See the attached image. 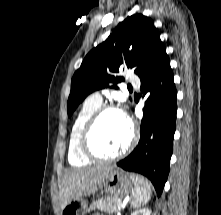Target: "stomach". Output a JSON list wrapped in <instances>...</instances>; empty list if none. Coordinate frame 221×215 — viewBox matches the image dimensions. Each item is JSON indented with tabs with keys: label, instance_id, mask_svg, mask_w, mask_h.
<instances>
[{
	"label": "stomach",
	"instance_id": "0dacf381",
	"mask_svg": "<svg viewBox=\"0 0 221 215\" xmlns=\"http://www.w3.org/2000/svg\"><path fill=\"white\" fill-rule=\"evenodd\" d=\"M135 177L121 170H112L100 188L101 193L105 192L112 197L127 196L134 190ZM87 210V201L83 198H77L62 209L61 215H85Z\"/></svg>",
	"mask_w": 221,
	"mask_h": 215
}]
</instances>
